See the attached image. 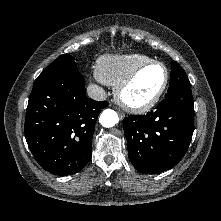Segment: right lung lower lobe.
<instances>
[{
    "label": "right lung lower lobe",
    "mask_w": 221,
    "mask_h": 221,
    "mask_svg": "<svg viewBox=\"0 0 221 221\" xmlns=\"http://www.w3.org/2000/svg\"><path fill=\"white\" fill-rule=\"evenodd\" d=\"M106 101L86 97L84 81L60 78L29 97L25 138L36 161L55 175H72L89 162L95 123Z\"/></svg>",
    "instance_id": "right-lung-lower-lobe-1"
}]
</instances>
